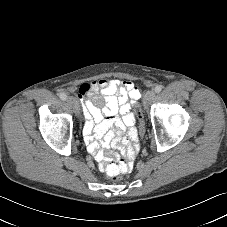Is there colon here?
I'll return each instance as SVG.
<instances>
[{
	"label": "colon",
	"mask_w": 227,
	"mask_h": 227,
	"mask_svg": "<svg viewBox=\"0 0 227 227\" xmlns=\"http://www.w3.org/2000/svg\"><path fill=\"white\" fill-rule=\"evenodd\" d=\"M134 112L136 113V119L139 120L140 122V128L138 129L139 136L141 139H144L145 118L142 117L139 104L135 105ZM102 165L104 167L106 174L112 180H118L121 177V175L127 173L131 167L130 162L125 163L123 165H119L117 163V157L115 154H106L102 162Z\"/></svg>",
	"instance_id": "5ec220e1"
}]
</instances>
